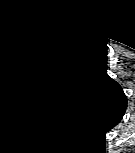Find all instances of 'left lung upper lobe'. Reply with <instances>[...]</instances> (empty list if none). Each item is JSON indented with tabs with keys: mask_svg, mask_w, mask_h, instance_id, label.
<instances>
[{
	"mask_svg": "<svg viewBox=\"0 0 135 153\" xmlns=\"http://www.w3.org/2000/svg\"><path fill=\"white\" fill-rule=\"evenodd\" d=\"M81 105L89 123L110 126L126 109V97L120 85L98 69L84 81L79 92Z\"/></svg>",
	"mask_w": 135,
	"mask_h": 153,
	"instance_id": "1",
	"label": "left lung upper lobe"
}]
</instances>
